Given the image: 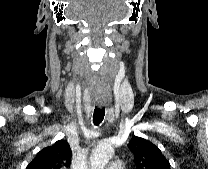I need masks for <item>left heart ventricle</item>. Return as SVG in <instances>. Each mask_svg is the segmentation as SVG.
<instances>
[{"label": "left heart ventricle", "instance_id": "obj_1", "mask_svg": "<svg viewBox=\"0 0 208 169\" xmlns=\"http://www.w3.org/2000/svg\"><path fill=\"white\" fill-rule=\"evenodd\" d=\"M101 169H108L107 167H103V168H101Z\"/></svg>", "mask_w": 208, "mask_h": 169}]
</instances>
